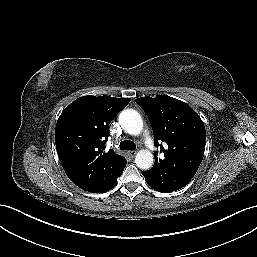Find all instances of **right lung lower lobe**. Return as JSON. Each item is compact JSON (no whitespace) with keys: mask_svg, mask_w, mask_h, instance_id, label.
Here are the masks:
<instances>
[{"mask_svg":"<svg viewBox=\"0 0 257 257\" xmlns=\"http://www.w3.org/2000/svg\"><path fill=\"white\" fill-rule=\"evenodd\" d=\"M125 166H126V163H125ZM125 166H124V167H125ZM123 169H124V168H123ZM123 169H122L121 172H120L116 177H114L109 183H107V184H105V185H102V186H100V187H97V188L88 189V190H86V191L94 192V193H103V192H106V191L112 189L113 187H115V185H116V183H117V178L122 175Z\"/></svg>","mask_w":257,"mask_h":257,"instance_id":"right-lung-lower-lobe-1","label":"right lung lower lobe"}]
</instances>
